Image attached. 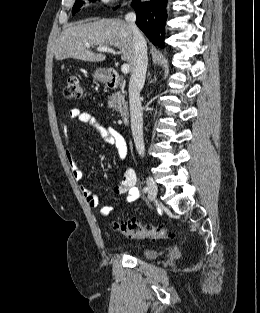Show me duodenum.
<instances>
[{
    "label": "duodenum",
    "mask_w": 260,
    "mask_h": 313,
    "mask_svg": "<svg viewBox=\"0 0 260 313\" xmlns=\"http://www.w3.org/2000/svg\"><path fill=\"white\" fill-rule=\"evenodd\" d=\"M121 79L118 73L113 69H107L105 73V84L109 88H118L120 86ZM120 117L123 124H128L130 121V113L127 108L120 110Z\"/></svg>",
    "instance_id": "duodenum-1"
}]
</instances>
